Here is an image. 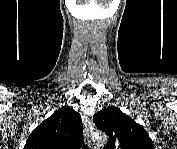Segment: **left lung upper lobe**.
Masks as SVG:
<instances>
[{"mask_svg": "<svg viewBox=\"0 0 177 149\" xmlns=\"http://www.w3.org/2000/svg\"><path fill=\"white\" fill-rule=\"evenodd\" d=\"M93 121L109 136L105 149H154L145 129L117 107L102 109Z\"/></svg>", "mask_w": 177, "mask_h": 149, "instance_id": "1", "label": "left lung upper lobe"}]
</instances>
